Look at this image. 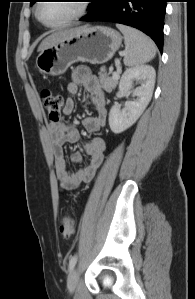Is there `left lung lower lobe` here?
Listing matches in <instances>:
<instances>
[{
	"label": "left lung lower lobe",
	"instance_id": "obj_1",
	"mask_svg": "<svg viewBox=\"0 0 195 299\" xmlns=\"http://www.w3.org/2000/svg\"><path fill=\"white\" fill-rule=\"evenodd\" d=\"M81 21H108L137 28L163 50V27L167 0H92Z\"/></svg>",
	"mask_w": 195,
	"mask_h": 299
}]
</instances>
